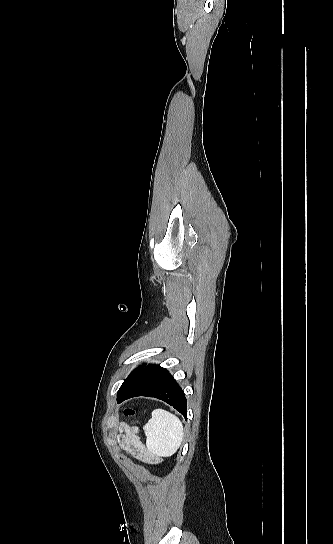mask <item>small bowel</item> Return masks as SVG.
Returning a JSON list of instances; mask_svg holds the SVG:
<instances>
[{
    "label": "small bowel",
    "mask_w": 333,
    "mask_h": 544,
    "mask_svg": "<svg viewBox=\"0 0 333 544\" xmlns=\"http://www.w3.org/2000/svg\"><path fill=\"white\" fill-rule=\"evenodd\" d=\"M123 432L122 446L128 454L147 463L159 461V457L142 441L139 431L136 428L125 426Z\"/></svg>",
    "instance_id": "1"
}]
</instances>
